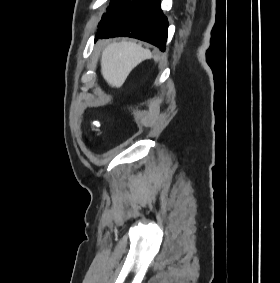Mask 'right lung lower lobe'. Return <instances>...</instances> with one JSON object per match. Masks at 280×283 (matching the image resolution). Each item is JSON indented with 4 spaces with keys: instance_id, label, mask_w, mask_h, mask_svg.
<instances>
[{
    "instance_id": "1",
    "label": "right lung lower lobe",
    "mask_w": 280,
    "mask_h": 283,
    "mask_svg": "<svg viewBox=\"0 0 280 283\" xmlns=\"http://www.w3.org/2000/svg\"><path fill=\"white\" fill-rule=\"evenodd\" d=\"M167 28L168 21L160 8V0H141L105 23L96 39L128 36L165 50Z\"/></svg>"
}]
</instances>
